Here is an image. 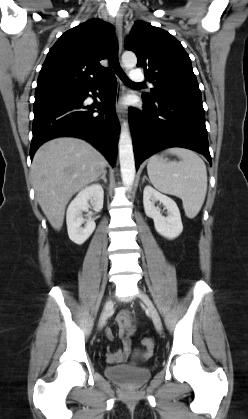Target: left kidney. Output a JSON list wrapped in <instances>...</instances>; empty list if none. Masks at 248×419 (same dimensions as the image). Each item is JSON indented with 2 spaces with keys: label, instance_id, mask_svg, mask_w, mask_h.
<instances>
[{
  "label": "left kidney",
  "instance_id": "left-kidney-1",
  "mask_svg": "<svg viewBox=\"0 0 248 419\" xmlns=\"http://www.w3.org/2000/svg\"><path fill=\"white\" fill-rule=\"evenodd\" d=\"M157 201L167 209V217L162 216L160 209L155 206ZM143 205L146 215L153 219L155 229L160 235L167 239H175L181 234L183 225L174 200L147 185L143 191Z\"/></svg>",
  "mask_w": 248,
  "mask_h": 419
}]
</instances>
